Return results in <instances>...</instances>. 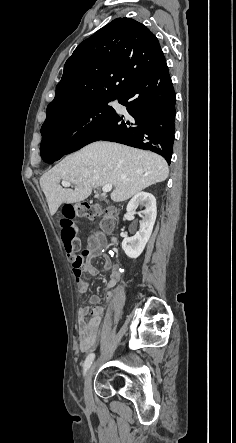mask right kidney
Returning a JSON list of instances; mask_svg holds the SVG:
<instances>
[{
	"mask_svg": "<svg viewBox=\"0 0 236 443\" xmlns=\"http://www.w3.org/2000/svg\"><path fill=\"white\" fill-rule=\"evenodd\" d=\"M138 206L145 207L140 223V230L133 237H126L122 242V249L132 259H136L143 252L153 230L157 216L156 199L148 192L137 193L128 203L127 212L135 213Z\"/></svg>",
	"mask_w": 236,
	"mask_h": 443,
	"instance_id": "obj_1",
	"label": "right kidney"
}]
</instances>
